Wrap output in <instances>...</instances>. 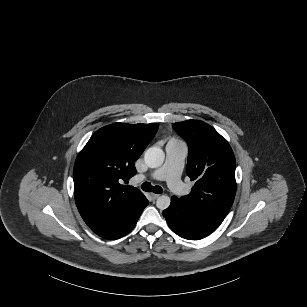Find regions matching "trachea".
<instances>
[{
    "label": "trachea",
    "mask_w": 307,
    "mask_h": 307,
    "mask_svg": "<svg viewBox=\"0 0 307 307\" xmlns=\"http://www.w3.org/2000/svg\"><path fill=\"white\" fill-rule=\"evenodd\" d=\"M142 190L146 191V192H153L156 194H161L163 192L162 187H160L159 185L156 186H152L150 182H144L141 185Z\"/></svg>",
    "instance_id": "1"
}]
</instances>
